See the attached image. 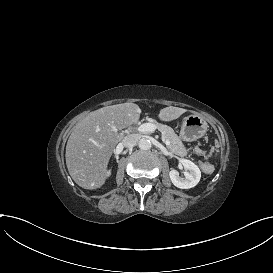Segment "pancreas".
<instances>
[{"instance_id":"obj_1","label":"pancreas","mask_w":273,"mask_h":273,"mask_svg":"<svg viewBox=\"0 0 273 273\" xmlns=\"http://www.w3.org/2000/svg\"><path fill=\"white\" fill-rule=\"evenodd\" d=\"M157 129L162 132V134L165 136V138L168 141H171V144H168L166 147L168 150H170L172 153L178 155V156H186L187 155V150L184 147L180 137L175 134L174 130L167 126L163 125L161 123H158L156 121L153 122Z\"/></svg>"}]
</instances>
